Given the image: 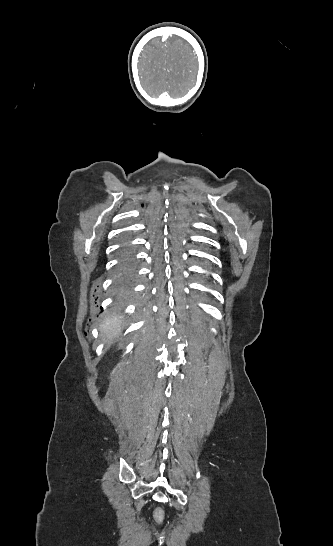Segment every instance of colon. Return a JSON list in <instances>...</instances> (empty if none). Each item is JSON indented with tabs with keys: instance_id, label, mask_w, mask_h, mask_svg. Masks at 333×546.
Instances as JSON below:
<instances>
[{
	"instance_id": "5ec220e1",
	"label": "colon",
	"mask_w": 333,
	"mask_h": 546,
	"mask_svg": "<svg viewBox=\"0 0 333 546\" xmlns=\"http://www.w3.org/2000/svg\"><path fill=\"white\" fill-rule=\"evenodd\" d=\"M153 518L157 524H161L164 520V512L160 507H156L153 511Z\"/></svg>"
}]
</instances>
